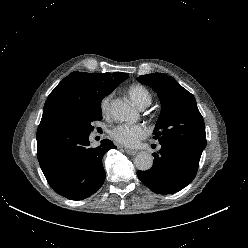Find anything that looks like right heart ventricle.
<instances>
[{
    "label": "right heart ventricle",
    "mask_w": 248,
    "mask_h": 248,
    "mask_svg": "<svg viewBox=\"0 0 248 248\" xmlns=\"http://www.w3.org/2000/svg\"><path fill=\"white\" fill-rule=\"evenodd\" d=\"M128 94L132 101L140 108L149 106L152 102L150 91L141 84H133L128 88Z\"/></svg>",
    "instance_id": "right-heart-ventricle-1"
}]
</instances>
